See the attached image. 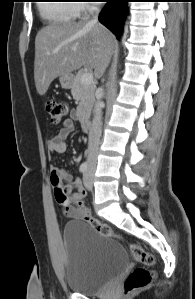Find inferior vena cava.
I'll return each mask as SVG.
<instances>
[{"label":"inferior vena cava","instance_id":"602c4592","mask_svg":"<svg viewBox=\"0 0 195 299\" xmlns=\"http://www.w3.org/2000/svg\"><path fill=\"white\" fill-rule=\"evenodd\" d=\"M96 15L93 17L91 21L88 23L90 25L98 24V12L99 9L97 7L91 8ZM102 96V88L99 89ZM102 105H101V97L97 98L94 107V115L92 120V125L88 134V155H87V163L90 167H95L97 163V156L99 150V142L102 134Z\"/></svg>","mask_w":195,"mask_h":299}]
</instances>
